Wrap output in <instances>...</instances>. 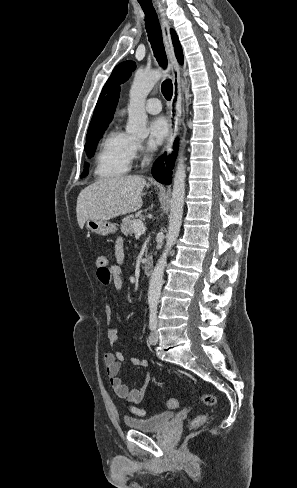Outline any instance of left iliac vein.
Wrapping results in <instances>:
<instances>
[{
    "label": "left iliac vein",
    "instance_id": "left-iliac-vein-1",
    "mask_svg": "<svg viewBox=\"0 0 297 488\" xmlns=\"http://www.w3.org/2000/svg\"><path fill=\"white\" fill-rule=\"evenodd\" d=\"M159 341V333L154 330L149 336V342L152 345H156Z\"/></svg>",
    "mask_w": 297,
    "mask_h": 488
}]
</instances>
